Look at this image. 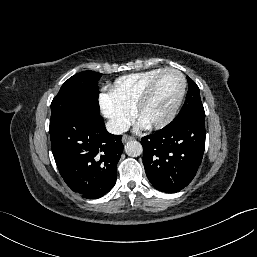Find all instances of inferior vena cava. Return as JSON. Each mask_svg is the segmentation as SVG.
Returning a JSON list of instances; mask_svg holds the SVG:
<instances>
[{
	"instance_id": "obj_1",
	"label": "inferior vena cava",
	"mask_w": 257,
	"mask_h": 257,
	"mask_svg": "<svg viewBox=\"0 0 257 257\" xmlns=\"http://www.w3.org/2000/svg\"><path fill=\"white\" fill-rule=\"evenodd\" d=\"M128 128H129V125L126 122L118 119H110L106 123L107 131L114 135H120L126 132Z\"/></svg>"
}]
</instances>
